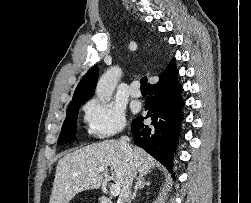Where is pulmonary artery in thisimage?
Returning <instances> with one entry per match:
<instances>
[{"label": "pulmonary artery", "mask_w": 251, "mask_h": 203, "mask_svg": "<svg viewBox=\"0 0 251 203\" xmlns=\"http://www.w3.org/2000/svg\"><path fill=\"white\" fill-rule=\"evenodd\" d=\"M129 93L134 98H139L141 96V91L138 88V82L134 81L130 85Z\"/></svg>", "instance_id": "e3ab8cb5"}]
</instances>
